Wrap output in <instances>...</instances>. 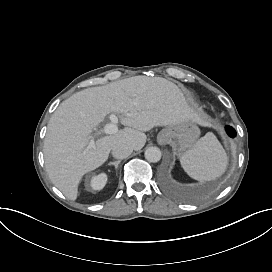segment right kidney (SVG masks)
<instances>
[{
	"label": "right kidney",
	"mask_w": 272,
	"mask_h": 272,
	"mask_svg": "<svg viewBox=\"0 0 272 272\" xmlns=\"http://www.w3.org/2000/svg\"><path fill=\"white\" fill-rule=\"evenodd\" d=\"M106 184V175L100 174L99 176H94L92 178V188L102 189Z\"/></svg>",
	"instance_id": "obj_1"
}]
</instances>
